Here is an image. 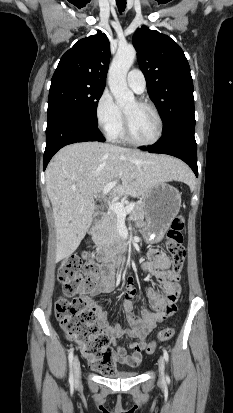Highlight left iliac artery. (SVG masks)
Segmentation results:
<instances>
[{
    "label": "left iliac artery",
    "instance_id": "1",
    "mask_svg": "<svg viewBox=\"0 0 233 413\" xmlns=\"http://www.w3.org/2000/svg\"><path fill=\"white\" fill-rule=\"evenodd\" d=\"M163 354H164L165 361L168 362L169 355L166 349L163 350ZM166 380L169 381V376H166Z\"/></svg>",
    "mask_w": 233,
    "mask_h": 413
}]
</instances>
